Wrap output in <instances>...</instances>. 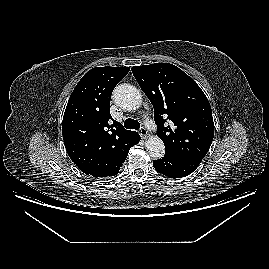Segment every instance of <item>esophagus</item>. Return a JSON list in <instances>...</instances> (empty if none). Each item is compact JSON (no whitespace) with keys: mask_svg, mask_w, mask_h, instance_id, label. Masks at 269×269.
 I'll return each mask as SVG.
<instances>
[{"mask_svg":"<svg viewBox=\"0 0 269 269\" xmlns=\"http://www.w3.org/2000/svg\"><path fill=\"white\" fill-rule=\"evenodd\" d=\"M139 134H140L142 139H145L148 135V131L145 127H141L139 130Z\"/></svg>","mask_w":269,"mask_h":269,"instance_id":"34e87169","label":"esophagus"}]
</instances>
